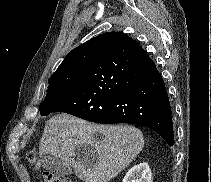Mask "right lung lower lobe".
I'll return each instance as SVG.
<instances>
[{
	"instance_id": "right-lung-lower-lobe-1",
	"label": "right lung lower lobe",
	"mask_w": 211,
	"mask_h": 182,
	"mask_svg": "<svg viewBox=\"0 0 211 182\" xmlns=\"http://www.w3.org/2000/svg\"><path fill=\"white\" fill-rule=\"evenodd\" d=\"M64 112L104 124L130 123L158 133L174 144L172 111L155 63L123 33L97 36L77 89L55 104Z\"/></svg>"
}]
</instances>
